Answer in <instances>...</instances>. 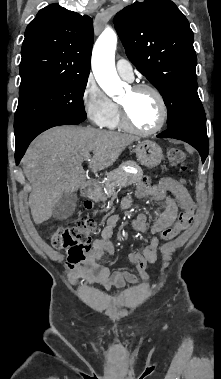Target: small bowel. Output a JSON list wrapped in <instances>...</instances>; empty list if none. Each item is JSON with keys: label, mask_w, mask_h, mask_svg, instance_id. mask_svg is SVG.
Returning a JSON list of instances; mask_svg holds the SVG:
<instances>
[{"label": "small bowel", "mask_w": 221, "mask_h": 379, "mask_svg": "<svg viewBox=\"0 0 221 379\" xmlns=\"http://www.w3.org/2000/svg\"><path fill=\"white\" fill-rule=\"evenodd\" d=\"M135 196L138 198H151L154 200H165L166 207L156 221L149 225L145 214H138L132 222V227L137 232H149L151 238L141 252L130 253L129 261L136 267L143 281L148 280L147 268L149 264L155 263L159 250V237L164 229L169 228L177 218L179 210H185L193 206V201L187 189L177 180L171 177H162L157 183L151 184L147 179L137 184ZM132 203V197L127 196L122 201V209H127ZM120 220L118 214L111 215L104 227L100 237L94 240L93 248L89 254L87 266L76 276L71 277L75 283L81 278L86 284H101L107 290L124 289L127 285H136L138 278L127 270L112 271L109 266L100 263L105 256H113L115 249L110 238Z\"/></svg>", "instance_id": "obj_1"}]
</instances>
